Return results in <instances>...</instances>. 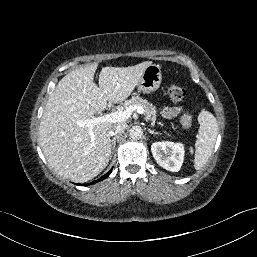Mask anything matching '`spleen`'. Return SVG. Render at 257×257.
<instances>
[{
  "mask_svg": "<svg viewBox=\"0 0 257 257\" xmlns=\"http://www.w3.org/2000/svg\"><path fill=\"white\" fill-rule=\"evenodd\" d=\"M198 122L200 127L195 143L194 158V168L196 170H200L208 161L218 134L217 120L209 111L202 109L198 115Z\"/></svg>",
  "mask_w": 257,
  "mask_h": 257,
  "instance_id": "obj_1",
  "label": "spleen"
}]
</instances>
